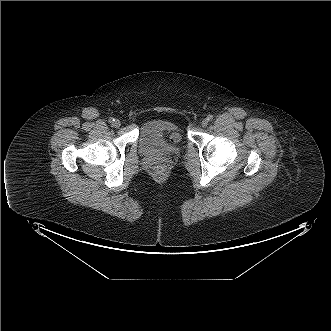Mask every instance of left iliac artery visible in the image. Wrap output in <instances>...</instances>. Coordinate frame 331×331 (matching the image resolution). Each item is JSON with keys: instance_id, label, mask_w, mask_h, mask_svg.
<instances>
[{"instance_id": "obj_1", "label": "left iliac artery", "mask_w": 331, "mask_h": 331, "mask_svg": "<svg viewBox=\"0 0 331 331\" xmlns=\"http://www.w3.org/2000/svg\"><path fill=\"white\" fill-rule=\"evenodd\" d=\"M212 119H213V116H212V115H208V116H207V120H208V121H211Z\"/></svg>"}]
</instances>
